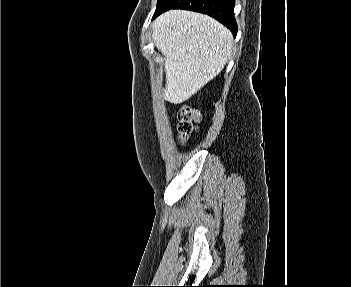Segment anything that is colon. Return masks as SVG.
Masks as SVG:
<instances>
[{
	"label": "colon",
	"instance_id": "obj_1",
	"mask_svg": "<svg viewBox=\"0 0 351 287\" xmlns=\"http://www.w3.org/2000/svg\"><path fill=\"white\" fill-rule=\"evenodd\" d=\"M179 131L181 140L185 141L197 130V122L200 119L198 111L190 106H183L179 110Z\"/></svg>",
	"mask_w": 351,
	"mask_h": 287
}]
</instances>
